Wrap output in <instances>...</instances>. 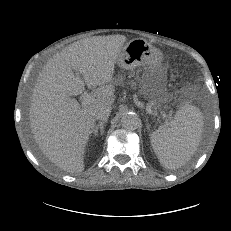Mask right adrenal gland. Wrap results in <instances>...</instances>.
Returning <instances> with one entry per match:
<instances>
[{"instance_id": "obj_1", "label": "right adrenal gland", "mask_w": 231, "mask_h": 231, "mask_svg": "<svg viewBox=\"0 0 231 231\" xmlns=\"http://www.w3.org/2000/svg\"><path fill=\"white\" fill-rule=\"evenodd\" d=\"M107 121H103V122H99L98 125L95 127L93 135L96 137L98 135V131L100 130V134L103 135L104 134V124Z\"/></svg>"}]
</instances>
